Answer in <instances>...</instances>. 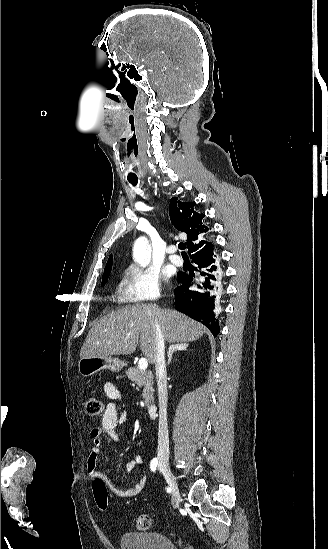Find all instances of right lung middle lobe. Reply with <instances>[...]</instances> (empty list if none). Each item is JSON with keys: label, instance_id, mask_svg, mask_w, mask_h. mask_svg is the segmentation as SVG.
I'll list each match as a JSON object with an SVG mask.
<instances>
[{"label": "right lung middle lobe", "instance_id": "right-lung-middle-lobe-1", "mask_svg": "<svg viewBox=\"0 0 328 549\" xmlns=\"http://www.w3.org/2000/svg\"><path fill=\"white\" fill-rule=\"evenodd\" d=\"M111 270H109L108 272L104 273L103 275V278H102V285H104L106 282H107V279L109 277V274H110Z\"/></svg>", "mask_w": 328, "mask_h": 549}]
</instances>
